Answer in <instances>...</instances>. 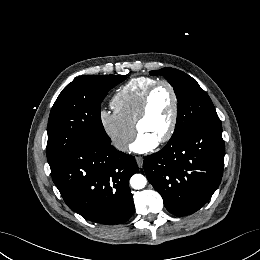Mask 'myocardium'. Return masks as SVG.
I'll use <instances>...</instances> for the list:
<instances>
[{"mask_svg": "<svg viewBox=\"0 0 260 260\" xmlns=\"http://www.w3.org/2000/svg\"><path fill=\"white\" fill-rule=\"evenodd\" d=\"M162 86L167 87L169 89L171 95H172L173 110H172L171 121H170L168 130L163 135V137L158 141L159 144L166 143L173 137V135L176 131L177 123H178L179 98H178V94L176 92V89L174 88V86L170 82H168L166 80H159V81L155 82L154 84H152L147 89L146 93L144 94V96L142 98V101H141V104H140V107H139V110H138V114H137V117H136V120H135V128H136L137 132H139L140 123L146 117V115L148 113V108H149L151 97L153 96L155 91Z\"/></svg>", "mask_w": 260, "mask_h": 260, "instance_id": "myocardium-1", "label": "myocardium"}]
</instances>
